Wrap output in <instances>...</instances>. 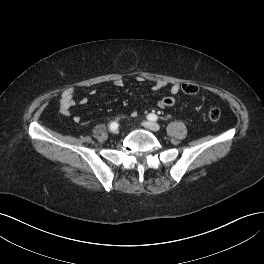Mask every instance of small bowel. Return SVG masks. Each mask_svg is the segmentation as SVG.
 Wrapping results in <instances>:
<instances>
[{"label": "small bowel", "mask_w": 264, "mask_h": 264, "mask_svg": "<svg viewBox=\"0 0 264 264\" xmlns=\"http://www.w3.org/2000/svg\"><path fill=\"white\" fill-rule=\"evenodd\" d=\"M137 81L142 82V81H144V78L138 77ZM113 84L117 88H123L124 87V81L122 79L114 80ZM167 85H168V83L166 81L157 80L153 84L152 90L158 91V90L163 89ZM179 89H180V87L177 83H173L170 85V91L172 94H177L179 92ZM91 93L94 94L95 91H92ZM87 102H88V99L86 97H83L79 100V103L82 105L87 104ZM75 104H76L75 90L73 88H68V89L64 90L61 94V99H60V113L65 117H69L71 115V109L74 107ZM158 107L163 108L159 102H158ZM73 121L76 124H80L82 122V119L79 116H74Z\"/></svg>", "instance_id": "1"}]
</instances>
